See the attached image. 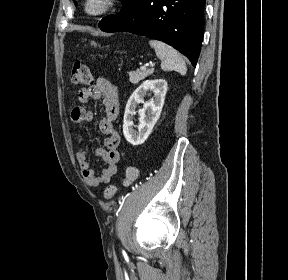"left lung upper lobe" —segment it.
<instances>
[{"label":"left lung upper lobe","mask_w":288,"mask_h":280,"mask_svg":"<svg viewBox=\"0 0 288 280\" xmlns=\"http://www.w3.org/2000/svg\"><path fill=\"white\" fill-rule=\"evenodd\" d=\"M122 1V9H125L131 5L134 0H121ZM76 5V2H75Z\"/></svg>","instance_id":"left-lung-upper-lobe-1"}]
</instances>
